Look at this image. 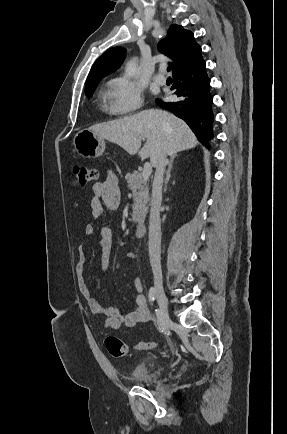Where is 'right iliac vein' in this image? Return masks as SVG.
<instances>
[{"instance_id": "right-iliac-vein-1", "label": "right iliac vein", "mask_w": 287, "mask_h": 434, "mask_svg": "<svg viewBox=\"0 0 287 434\" xmlns=\"http://www.w3.org/2000/svg\"><path fill=\"white\" fill-rule=\"evenodd\" d=\"M155 295L159 305V313L164 325L170 323V317L168 313V300L163 290L161 282H155Z\"/></svg>"}]
</instances>
